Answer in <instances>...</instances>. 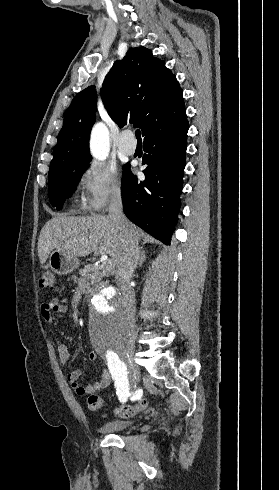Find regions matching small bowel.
Masks as SVG:
<instances>
[{
  "mask_svg": "<svg viewBox=\"0 0 279 490\" xmlns=\"http://www.w3.org/2000/svg\"><path fill=\"white\" fill-rule=\"evenodd\" d=\"M68 313V307L65 304L60 303L57 299H52L42 305L41 315L46 321H51L55 317H62ZM57 351L59 362L62 365H66L70 360V349L69 346L62 342H57ZM96 353H91L89 359L91 361L96 360ZM83 376L81 369H76L70 372L67 376L68 382L71 384L73 389L79 395H86L100 391L108 387L111 384V375L109 371L105 368L102 370L99 379L90 384H80V380Z\"/></svg>",
  "mask_w": 279,
  "mask_h": 490,
  "instance_id": "c3829d8e",
  "label": "small bowel"
}]
</instances>
